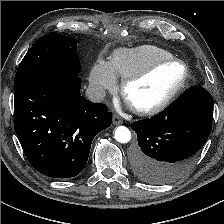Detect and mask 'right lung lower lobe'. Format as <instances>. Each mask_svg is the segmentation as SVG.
Instances as JSON below:
<instances>
[{"mask_svg":"<svg viewBox=\"0 0 224 224\" xmlns=\"http://www.w3.org/2000/svg\"><path fill=\"white\" fill-rule=\"evenodd\" d=\"M81 78L48 74L14 93V129L40 173L70 178L86 166L93 138L112 122L106 105L80 94Z\"/></svg>","mask_w":224,"mask_h":224,"instance_id":"1","label":"right lung lower lobe"}]
</instances>
